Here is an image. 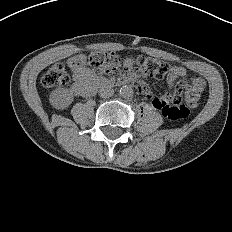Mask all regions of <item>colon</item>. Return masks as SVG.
<instances>
[{"instance_id": "1", "label": "colon", "mask_w": 232, "mask_h": 232, "mask_svg": "<svg viewBox=\"0 0 232 232\" xmlns=\"http://www.w3.org/2000/svg\"><path fill=\"white\" fill-rule=\"evenodd\" d=\"M119 58L113 54L103 51L91 52L87 58L83 56L76 57V63L84 65L88 63L94 69L102 73H113L119 66ZM139 70L145 76L156 79L164 78L170 71V66L161 60L148 57L137 58ZM69 81L68 73L65 66L61 63H56L50 66L42 78V83L46 87H55L64 85ZM202 89L193 85H186L180 82L176 86L177 93H184L185 102L172 97L169 94L160 96L157 103L163 105L162 114L171 119L178 120L188 116L189 108L196 106L201 98Z\"/></svg>"}]
</instances>
